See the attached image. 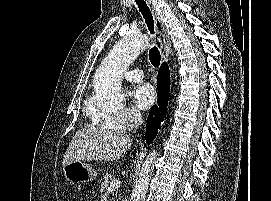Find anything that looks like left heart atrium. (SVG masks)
I'll return each instance as SVG.
<instances>
[{"mask_svg": "<svg viewBox=\"0 0 271 201\" xmlns=\"http://www.w3.org/2000/svg\"><path fill=\"white\" fill-rule=\"evenodd\" d=\"M131 99L136 107L145 110L155 102L156 94L151 85L142 83L133 87Z\"/></svg>", "mask_w": 271, "mask_h": 201, "instance_id": "left-heart-atrium-1", "label": "left heart atrium"}]
</instances>
